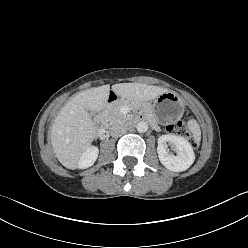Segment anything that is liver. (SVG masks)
Returning a JSON list of instances; mask_svg holds the SVG:
<instances>
[{"label": "liver", "instance_id": "liver-1", "mask_svg": "<svg viewBox=\"0 0 248 248\" xmlns=\"http://www.w3.org/2000/svg\"><path fill=\"white\" fill-rule=\"evenodd\" d=\"M110 85L87 89L72 97L57 115L51 129L55 157L68 169H77L83 153L96 138V127L89 114L100 112L107 103ZM112 91L130 102H146L167 89L142 83H120Z\"/></svg>", "mask_w": 248, "mask_h": 248}]
</instances>
